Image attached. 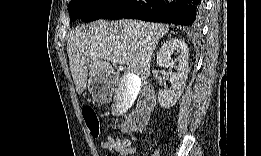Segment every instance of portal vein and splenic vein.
Returning a JSON list of instances; mask_svg holds the SVG:
<instances>
[{
    "label": "portal vein and splenic vein",
    "mask_w": 261,
    "mask_h": 156,
    "mask_svg": "<svg viewBox=\"0 0 261 156\" xmlns=\"http://www.w3.org/2000/svg\"><path fill=\"white\" fill-rule=\"evenodd\" d=\"M101 57H102V58H105V59H107V60H111L114 64L123 65V64L126 63L125 59L113 57V56H110V55H108V54H102Z\"/></svg>",
    "instance_id": "18ae733b"
}]
</instances>
